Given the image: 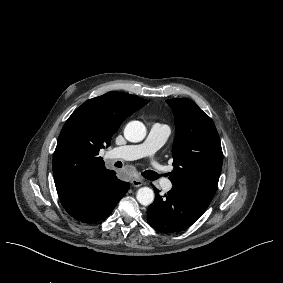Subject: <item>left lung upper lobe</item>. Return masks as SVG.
<instances>
[{"instance_id": "5c2ea615", "label": "left lung upper lobe", "mask_w": 283, "mask_h": 283, "mask_svg": "<svg viewBox=\"0 0 283 283\" xmlns=\"http://www.w3.org/2000/svg\"><path fill=\"white\" fill-rule=\"evenodd\" d=\"M175 116L172 184L210 203L218 185L223 154L215 124L187 98L166 101Z\"/></svg>"}]
</instances>
